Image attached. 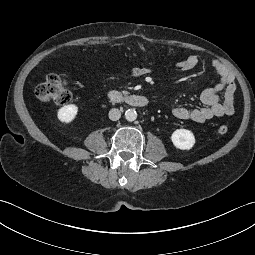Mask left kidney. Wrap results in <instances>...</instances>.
<instances>
[{
    "label": "left kidney",
    "mask_w": 255,
    "mask_h": 255,
    "mask_svg": "<svg viewBox=\"0 0 255 255\" xmlns=\"http://www.w3.org/2000/svg\"><path fill=\"white\" fill-rule=\"evenodd\" d=\"M173 145L180 150H190L195 144V137L190 130L177 129L171 135Z\"/></svg>",
    "instance_id": "left-kidney-1"
}]
</instances>
